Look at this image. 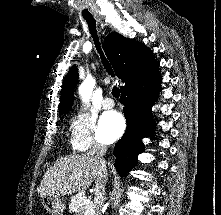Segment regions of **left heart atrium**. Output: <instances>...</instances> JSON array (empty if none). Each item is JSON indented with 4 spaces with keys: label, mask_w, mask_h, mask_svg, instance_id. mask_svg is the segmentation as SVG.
I'll use <instances>...</instances> for the list:
<instances>
[{
    "label": "left heart atrium",
    "mask_w": 221,
    "mask_h": 215,
    "mask_svg": "<svg viewBox=\"0 0 221 215\" xmlns=\"http://www.w3.org/2000/svg\"><path fill=\"white\" fill-rule=\"evenodd\" d=\"M124 117L116 111L105 112L100 119V135L105 141L117 139L125 129Z\"/></svg>",
    "instance_id": "1"
}]
</instances>
